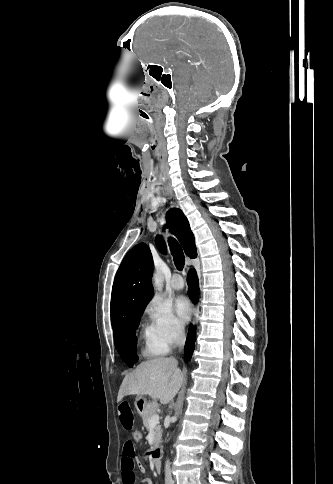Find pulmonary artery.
Wrapping results in <instances>:
<instances>
[{"label":"pulmonary artery","instance_id":"1","mask_svg":"<svg viewBox=\"0 0 333 484\" xmlns=\"http://www.w3.org/2000/svg\"><path fill=\"white\" fill-rule=\"evenodd\" d=\"M171 286L176 290H180L184 287V280L179 273L173 274L171 279Z\"/></svg>","mask_w":333,"mask_h":484}]
</instances>
